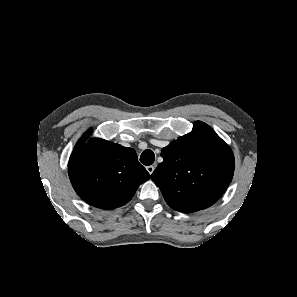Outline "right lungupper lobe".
Masks as SVG:
<instances>
[{
    "instance_id": "obj_1",
    "label": "right lung upper lobe",
    "mask_w": 297,
    "mask_h": 297,
    "mask_svg": "<svg viewBox=\"0 0 297 297\" xmlns=\"http://www.w3.org/2000/svg\"><path fill=\"white\" fill-rule=\"evenodd\" d=\"M77 142L68 163L69 178L77 194L88 204L105 210L125 205L139 185L150 179L134 149L103 139Z\"/></svg>"
}]
</instances>
